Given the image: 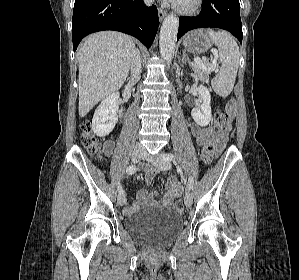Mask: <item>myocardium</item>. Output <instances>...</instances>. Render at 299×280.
Segmentation results:
<instances>
[{
    "mask_svg": "<svg viewBox=\"0 0 299 280\" xmlns=\"http://www.w3.org/2000/svg\"><path fill=\"white\" fill-rule=\"evenodd\" d=\"M203 4V0H192L188 4H183V3H175V10L183 15H191L196 13Z\"/></svg>",
    "mask_w": 299,
    "mask_h": 280,
    "instance_id": "f54148a6",
    "label": "myocardium"
}]
</instances>
